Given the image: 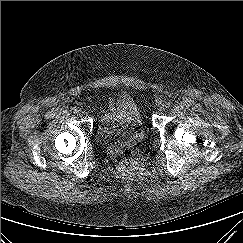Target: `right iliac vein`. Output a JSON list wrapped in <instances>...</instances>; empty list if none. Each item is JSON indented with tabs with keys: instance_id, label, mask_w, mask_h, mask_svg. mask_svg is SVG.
Listing matches in <instances>:
<instances>
[{
	"instance_id": "63e3f726",
	"label": "right iliac vein",
	"mask_w": 243,
	"mask_h": 243,
	"mask_svg": "<svg viewBox=\"0 0 243 243\" xmlns=\"http://www.w3.org/2000/svg\"><path fill=\"white\" fill-rule=\"evenodd\" d=\"M77 115H78L79 117H83V116L85 115V113H84V111H82V110H78Z\"/></svg>"
}]
</instances>
